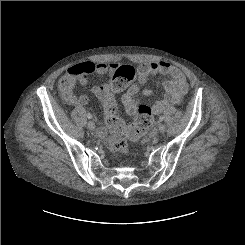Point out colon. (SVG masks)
<instances>
[{
	"mask_svg": "<svg viewBox=\"0 0 245 245\" xmlns=\"http://www.w3.org/2000/svg\"><path fill=\"white\" fill-rule=\"evenodd\" d=\"M93 69L94 66L92 64H79L72 67V72L77 75L74 81L76 83L81 81ZM135 81L136 74L134 69L124 67L120 74L113 79L112 92H120ZM69 85V82L65 83L66 87H69ZM104 113L105 121L111 132L110 144L114 150L122 153H127L129 150L127 136L137 138L146 133L153 124L151 110L149 106L143 104L138 107L134 123L127 127L118 115V107L112 96L108 97L104 102Z\"/></svg>",
	"mask_w": 245,
	"mask_h": 245,
	"instance_id": "colon-1",
	"label": "colon"
}]
</instances>
